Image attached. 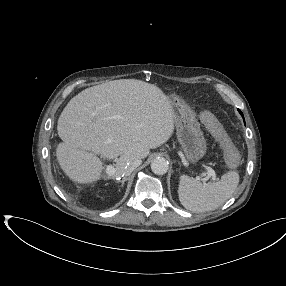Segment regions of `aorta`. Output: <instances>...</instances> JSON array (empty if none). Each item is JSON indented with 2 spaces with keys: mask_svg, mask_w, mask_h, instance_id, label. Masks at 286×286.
Wrapping results in <instances>:
<instances>
[{
  "mask_svg": "<svg viewBox=\"0 0 286 286\" xmlns=\"http://www.w3.org/2000/svg\"><path fill=\"white\" fill-rule=\"evenodd\" d=\"M168 162L166 159L159 157L151 162V170L157 175L166 174L168 171Z\"/></svg>",
  "mask_w": 286,
  "mask_h": 286,
  "instance_id": "obj_1",
  "label": "aorta"
}]
</instances>
